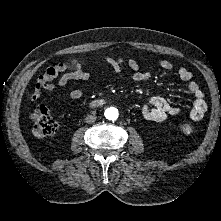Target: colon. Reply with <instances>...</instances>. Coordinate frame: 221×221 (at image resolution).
I'll list each match as a JSON object with an SVG mask.
<instances>
[{
    "label": "colon",
    "instance_id": "1",
    "mask_svg": "<svg viewBox=\"0 0 221 221\" xmlns=\"http://www.w3.org/2000/svg\"><path fill=\"white\" fill-rule=\"evenodd\" d=\"M76 61L72 62V66L75 67ZM117 66L122 63L121 60L114 62ZM59 70L57 65L48 68L41 76L38 88L43 91H48L52 89L51 81L57 76ZM32 121V131L34 136L38 138L51 136L57 131V122L50 116L47 109L43 106L36 108L31 113ZM177 131L182 135L189 136L194 132V124L188 120L184 119L177 123Z\"/></svg>",
    "mask_w": 221,
    "mask_h": 221
}]
</instances>
